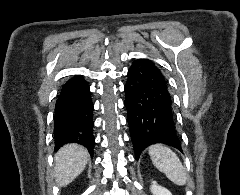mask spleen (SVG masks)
<instances>
[{"mask_svg":"<svg viewBox=\"0 0 240 195\" xmlns=\"http://www.w3.org/2000/svg\"><path fill=\"white\" fill-rule=\"evenodd\" d=\"M148 153L157 169L163 171L173 183H177V185L186 183L185 169L178 155L170 147H165L162 143H155V145H149Z\"/></svg>","mask_w":240,"mask_h":195,"instance_id":"1","label":"spleen"}]
</instances>
